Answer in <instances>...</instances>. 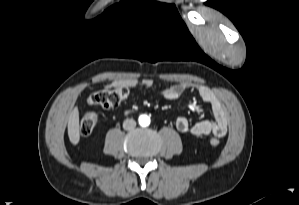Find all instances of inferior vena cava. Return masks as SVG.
I'll list each match as a JSON object with an SVG mask.
<instances>
[{"mask_svg": "<svg viewBox=\"0 0 299 205\" xmlns=\"http://www.w3.org/2000/svg\"><path fill=\"white\" fill-rule=\"evenodd\" d=\"M136 127V122L133 119H126L123 122V128L125 130H132Z\"/></svg>", "mask_w": 299, "mask_h": 205, "instance_id": "1", "label": "inferior vena cava"}]
</instances>
